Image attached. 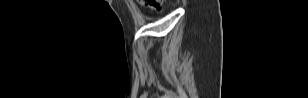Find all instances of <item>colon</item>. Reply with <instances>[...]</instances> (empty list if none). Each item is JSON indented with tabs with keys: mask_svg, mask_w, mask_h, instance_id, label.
I'll return each instance as SVG.
<instances>
[{
	"mask_svg": "<svg viewBox=\"0 0 308 98\" xmlns=\"http://www.w3.org/2000/svg\"><path fill=\"white\" fill-rule=\"evenodd\" d=\"M141 3L159 11L162 8V2L160 0H142Z\"/></svg>",
	"mask_w": 308,
	"mask_h": 98,
	"instance_id": "obj_1",
	"label": "colon"
}]
</instances>
